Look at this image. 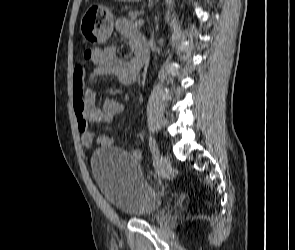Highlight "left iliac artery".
<instances>
[{"instance_id":"44dca946","label":"left iliac artery","mask_w":295,"mask_h":250,"mask_svg":"<svg viewBox=\"0 0 295 250\" xmlns=\"http://www.w3.org/2000/svg\"><path fill=\"white\" fill-rule=\"evenodd\" d=\"M149 147H150L151 153L153 155L154 162H156L158 147H157L156 141L153 136L149 137Z\"/></svg>"}]
</instances>
